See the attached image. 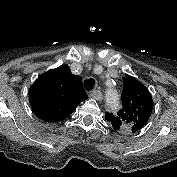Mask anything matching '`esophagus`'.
Masks as SVG:
<instances>
[{
	"instance_id": "esophagus-1",
	"label": "esophagus",
	"mask_w": 177,
	"mask_h": 177,
	"mask_svg": "<svg viewBox=\"0 0 177 177\" xmlns=\"http://www.w3.org/2000/svg\"><path fill=\"white\" fill-rule=\"evenodd\" d=\"M90 96L93 98V99H96L98 101H101L103 99V94L101 91L99 90H93L91 93H90Z\"/></svg>"
}]
</instances>
